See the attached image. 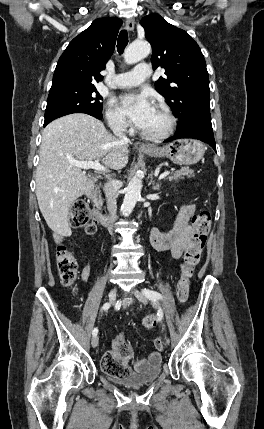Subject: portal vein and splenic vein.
Wrapping results in <instances>:
<instances>
[{
  "label": "portal vein and splenic vein",
  "instance_id": "18ae733b",
  "mask_svg": "<svg viewBox=\"0 0 264 429\" xmlns=\"http://www.w3.org/2000/svg\"><path fill=\"white\" fill-rule=\"evenodd\" d=\"M70 164L79 168H82L84 170H88V169H94L97 171H103V172H107L108 170L102 166L99 162V160H95V161H77V160H71ZM169 171H165L163 172L160 176H159V180L165 178L166 176L169 175Z\"/></svg>",
  "mask_w": 264,
  "mask_h": 429
}]
</instances>
